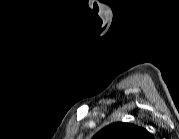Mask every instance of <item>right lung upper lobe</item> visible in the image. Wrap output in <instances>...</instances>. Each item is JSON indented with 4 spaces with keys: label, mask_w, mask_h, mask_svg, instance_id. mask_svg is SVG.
Instances as JSON below:
<instances>
[{
    "label": "right lung upper lobe",
    "mask_w": 179,
    "mask_h": 139,
    "mask_svg": "<svg viewBox=\"0 0 179 139\" xmlns=\"http://www.w3.org/2000/svg\"><path fill=\"white\" fill-rule=\"evenodd\" d=\"M149 132L134 124L116 122L103 128L94 139H148Z\"/></svg>",
    "instance_id": "obj_1"
}]
</instances>
